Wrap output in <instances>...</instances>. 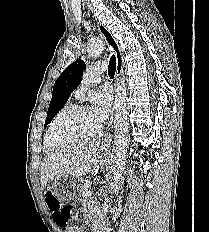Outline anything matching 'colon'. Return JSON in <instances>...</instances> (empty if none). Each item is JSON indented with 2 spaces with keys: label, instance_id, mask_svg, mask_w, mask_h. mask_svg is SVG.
Masks as SVG:
<instances>
[{
  "label": "colon",
  "instance_id": "colon-1",
  "mask_svg": "<svg viewBox=\"0 0 209 232\" xmlns=\"http://www.w3.org/2000/svg\"><path fill=\"white\" fill-rule=\"evenodd\" d=\"M44 198H47V204L52 211L53 218L62 228L68 227L71 220V210L67 206H61L59 201L55 199L53 193H44Z\"/></svg>",
  "mask_w": 209,
  "mask_h": 232
}]
</instances>
